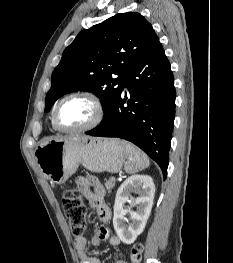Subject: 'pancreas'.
Returning <instances> with one entry per match:
<instances>
[{
	"mask_svg": "<svg viewBox=\"0 0 233 263\" xmlns=\"http://www.w3.org/2000/svg\"><path fill=\"white\" fill-rule=\"evenodd\" d=\"M114 186H115V181H113L111 178L109 180H106L105 187L108 191H111Z\"/></svg>",
	"mask_w": 233,
	"mask_h": 263,
	"instance_id": "obj_1",
	"label": "pancreas"
}]
</instances>
